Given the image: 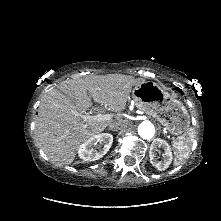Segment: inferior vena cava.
Instances as JSON below:
<instances>
[{
    "label": "inferior vena cava",
    "instance_id": "1",
    "mask_svg": "<svg viewBox=\"0 0 221 221\" xmlns=\"http://www.w3.org/2000/svg\"><path fill=\"white\" fill-rule=\"evenodd\" d=\"M127 126V123L125 122H113L109 125V129L110 130H120V129H123Z\"/></svg>",
    "mask_w": 221,
    "mask_h": 221
}]
</instances>
